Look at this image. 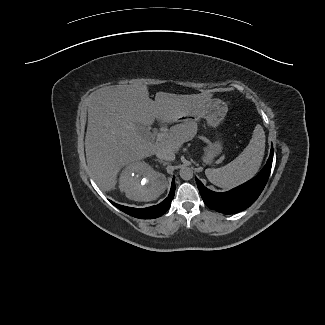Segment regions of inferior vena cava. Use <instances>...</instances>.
<instances>
[{
  "label": "inferior vena cava",
  "instance_id": "inferior-vena-cava-1",
  "mask_svg": "<svg viewBox=\"0 0 325 325\" xmlns=\"http://www.w3.org/2000/svg\"><path fill=\"white\" fill-rule=\"evenodd\" d=\"M156 156L167 161H173L175 159V153L172 150L164 148L157 150Z\"/></svg>",
  "mask_w": 325,
  "mask_h": 325
}]
</instances>
